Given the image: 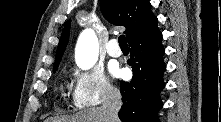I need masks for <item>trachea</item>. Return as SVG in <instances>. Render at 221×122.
Here are the masks:
<instances>
[{
	"label": "trachea",
	"mask_w": 221,
	"mask_h": 122,
	"mask_svg": "<svg viewBox=\"0 0 221 122\" xmlns=\"http://www.w3.org/2000/svg\"><path fill=\"white\" fill-rule=\"evenodd\" d=\"M118 42H119L120 47H128L127 41L124 35L119 36Z\"/></svg>",
	"instance_id": "trachea-1"
}]
</instances>
